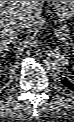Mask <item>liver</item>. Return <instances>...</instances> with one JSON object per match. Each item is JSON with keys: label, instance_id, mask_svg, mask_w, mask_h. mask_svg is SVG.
<instances>
[{"label": "liver", "instance_id": "6515ba94", "mask_svg": "<svg viewBox=\"0 0 74 122\" xmlns=\"http://www.w3.org/2000/svg\"><path fill=\"white\" fill-rule=\"evenodd\" d=\"M44 1H0V47L5 49L16 40L15 21L26 23V31L33 32L43 23L42 3Z\"/></svg>", "mask_w": 74, "mask_h": 122}]
</instances>
